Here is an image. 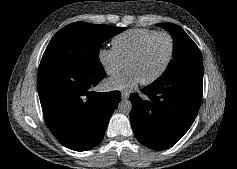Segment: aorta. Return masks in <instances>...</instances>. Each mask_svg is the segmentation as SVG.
Here are the masks:
<instances>
[{
  "mask_svg": "<svg viewBox=\"0 0 237 169\" xmlns=\"http://www.w3.org/2000/svg\"><path fill=\"white\" fill-rule=\"evenodd\" d=\"M132 110V103L130 100L123 99L118 104V111L122 114H129Z\"/></svg>",
  "mask_w": 237,
  "mask_h": 169,
  "instance_id": "obj_1",
  "label": "aorta"
}]
</instances>
